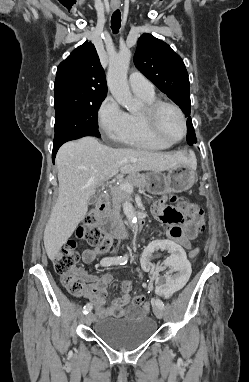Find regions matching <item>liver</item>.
Segmentation results:
<instances>
[{
    "label": "liver",
    "instance_id": "obj_1",
    "mask_svg": "<svg viewBox=\"0 0 249 382\" xmlns=\"http://www.w3.org/2000/svg\"><path fill=\"white\" fill-rule=\"evenodd\" d=\"M196 168L193 154L162 153L142 149H115L91 136L62 145L56 155L59 194L44 230V246L50 260L71 237L88 211L96 187L119 170L118 177L138 171L161 172L178 165Z\"/></svg>",
    "mask_w": 249,
    "mask_h": 382
}]
</instances>
